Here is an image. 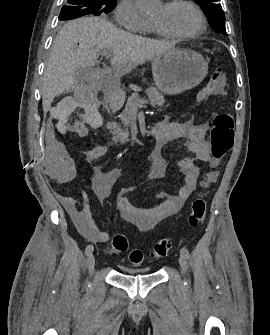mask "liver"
I'll list each match as a JSON object with an SVG mask.
<instances>
[{
    "mask_svg": "<svg viewBox=\"0 0 270 335\" xmlns=\"http://www.w3.org/2000/svg\"><path fill=\"white\" fill-rule=\"evenodd\" d=\"M175 44L134 36L118 30L107 18H78L59 30L47 60L42 82V106L47 114L51 104L63 92H72L78 84L76 70H93L99 50H111L115 76L130 74L136 66L155 56L175 50Z\"/></svg>",
    "mask_w": 270,
    "mask_h": 335,
    "instance_id": "liver-1",
    "label": "liver"
}]
</instances>
